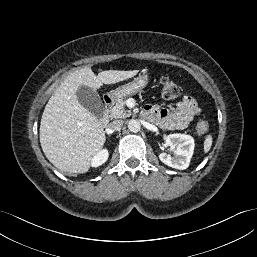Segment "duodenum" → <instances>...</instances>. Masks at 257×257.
I'll list each match as a JSON object with an SVG mask.
<instances>
[{
    "label": "duodenum",
    "instance_id": "410a0bca",
    "mask_svg": "<svg viewBox=\"0 0 257 257\" xmlns=\"http://www.w3.org/2000/svg\"><path fill=\"white\" fill-rule=\"evenodd\" d=\"M113 103H114V100H113L112 97H110V96H105L104 97L105 112H104V114H103V116L101 117V120H100L102 126H106L109 122V119H110L109 111H110Z\"/></svg>",
    "mask_w": 257,
    "mask_h": 257
}]
</instances>
